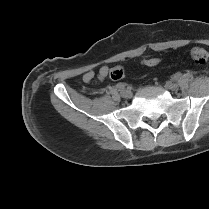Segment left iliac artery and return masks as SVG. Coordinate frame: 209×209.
I'll list each match as a JSON object with an SVG mask.
<instances>
[{
	"instance_id": "left-iliac-artery-1",
	"label": "left iliac artery",
	"mask_w": 209,
	"mask_h": 209,
	"mask_svg": "<svg viewBox=\"0 0 209 209\" xmlns=\"http://www.w3.org/2000/svg\"><path fill=\"white\" fill-rule=\"evenodd\" d=\"M181 78H182V75H181L180 73H177V74H175V75L172 77V80H173L174 82H177V81H179Z\"/></svg>"
}]
</instances>
